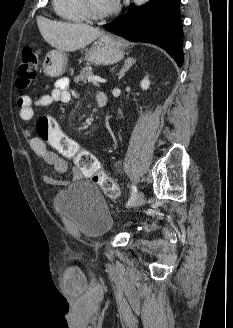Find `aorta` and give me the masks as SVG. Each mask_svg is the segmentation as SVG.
Masks as SVG:
<instances>
[{
    "instance_id": "1",
    "label": "aorta",
    "mask_w": 233,
    "mask_h": 328,
    "mask_svg": "<svg viewBox=\"0 0 233 328\" xmlns=\"http://www.w3.org/2000/svg\"><path fill=\"white\" fill-rule=\"evenodd\" d=\"M148 0H134V3L136 4V5H142L144 2H147Z\"/></svg>"
}]
</instances>
